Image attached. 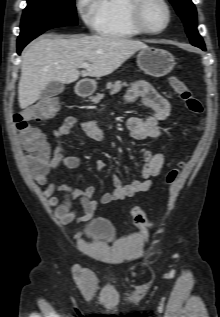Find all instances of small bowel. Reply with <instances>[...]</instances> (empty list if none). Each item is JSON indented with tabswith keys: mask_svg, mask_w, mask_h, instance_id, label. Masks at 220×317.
<instances>
[{
	"mask_svg": "<svg viewBox=\"0 0 220 317\" xmlns=\"http://www.w3.org/2000/svg\"><path fill=\"white\" fill-rule=\"evenodd\" d=\"M124 101L125 103L139 101L153 112L151 116L146 118L130 117L128 119L127 127L132 138L145 140L162 135L163 131L160 123L168 117L170 103L150 83L138 81L132 84L124 96ZM76 123V118L69 116L53 131L55 143L52 157L43 168L29 165L34 180L39 185L44 186L43 195L47 199L48 205L55 208L54 215L62 224L86 221L98 212L102 205L123 200L137 193L147 192L152 186V178L160 173L165 159L162 153L152 154L148 149L144 148L142 150L144 165L140 179L124 185L117 175H113L114 190L102 196L100 201H96L93 199L95 193L93 186L85 189H74L67 184L57 185L48 179L49 172L58 166L75 169L80 165L79 157L66 154L62 142V138L71 133ZM81 127L83 132L93 140L104 141L107 138L105 131L92 120L83 122ZM95 166L97 170H104L107 164L104 160L99 159L96 161ZM56 192L61 193L63 197L60 198L55 194ZM74 201H79L84 210L83 215H78L73 208L72 204Z\"/></svg>",
	"mask_w": 220,
	"mask_h": 317,
	"instance_id": "c3829d8e",
	"label": "small bowel"
}]
</instances>
